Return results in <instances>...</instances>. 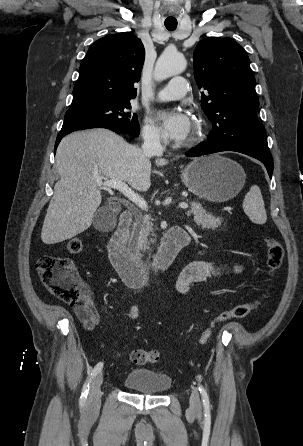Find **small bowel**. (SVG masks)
<instances>
[{
    "label": "small bowel",
    "instance_id": "obj_1",
    "mask_svg": "<svg viewBox=\"0 0 303 446\" xmlns=\"http://www.w3.org/2000/svg\"><path fill=\"white\" fill-rule=\"evenodd\" d=\"M239 266L233 267V272L240 271ZM228 271L221 265L206 260H194L188 263L179 273L175 288L181 293L185 294L189 289L208 278L210 275L221 276L226 274ZM86 300L84 303L76 305L73 308L75 316L83 324L87 330H96L102 328V323L100 320V315L92 299L91 291L85 286ZM139 316V309L137 306H131L126 317L128 320H135Z\"/></svg>",
    "mask_w": 303,
    "mask_h": 446
}]
</instances>
